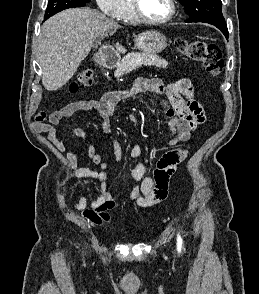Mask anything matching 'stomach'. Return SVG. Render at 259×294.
Here are the masks:
<instances>
[{"instance_id": "obj_1", "label": "stomach", "mask_w": 259, "mask_h": 294, "mask_svg": "<svg viewBox=\"0 0 259 294\" xmlns=\"http://www.w3.org/2000/svg\"><path fill=\"white\" fill-rule=\"evenodd\" d=\"M136 49L147 54H156L167 47L166 37L158 31H146L134 39Z\"/></svg>"}]
</instances>
